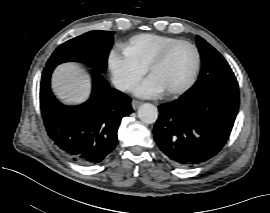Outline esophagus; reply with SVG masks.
<instances>
[{
	"instance_id": "esophagus-1",
	"label": "esophagus",
	"mask_w": 270,
	"mask_h": 213,
	"mask_svg": "<svg viewBox=\"0 0 270 213\" xmlns=\"http://www.w3.org/2000/svg\"><path fill=\"white\" fill-rule=\"evenodd\" d=\"M131 104H132L133 109L136 110L142 104V102L139 100L133 99Z\"/></svg>"
}]
</instances>
